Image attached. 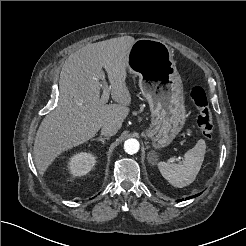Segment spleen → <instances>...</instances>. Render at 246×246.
Returning a JSON list of instances; mask_svg holds the SVG:
<instances>
[{
  "label": "spleen",
  "instance_id": "1",
  "mask_svg": "<svg viewBox=\"0 0 246 246\" xmlns=\"http://www.w3.org/2000/svg\"><path fill=\"white\" fill-rule=\"evenodd\" d=\"M206 152L203 139L184 154L183 163L158 162L162 176L174 187L183 188L194 182L198 175Z\"/></svg>",
  "mask_w": 246,
  "mask_h": 246
}]
</instances>
